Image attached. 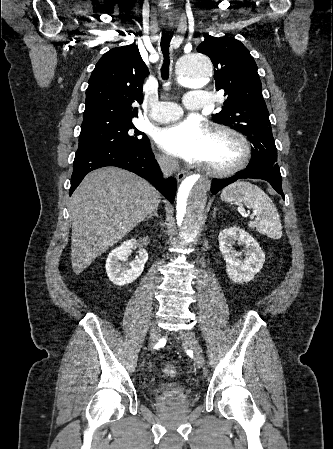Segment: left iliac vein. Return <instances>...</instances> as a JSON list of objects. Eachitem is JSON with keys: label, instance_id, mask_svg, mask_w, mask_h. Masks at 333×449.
I'll return each mask as SVG.
<instances>
[{"label": "left iliac vein", "instance_id": "1", "mask_svg": "<svg viewBox=\"0 0 333 449\" xmlns=\"http://www.w3.org/2000/svg\"><path fill=\"white\" fill-rule=\"evenodd\" d=\"M182 339L193 350L195 362H196L198 368H202L204 365L203 351H202V348H201L200 344L198 343V340L195 337L194 333L185 332L182 335Z\"/></svg>", "mask_w": 333, "mask_h": 449}]
</instances>
